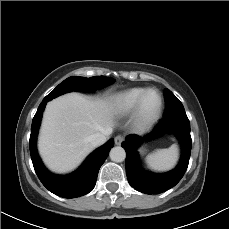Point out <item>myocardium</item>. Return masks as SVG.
<instances>
[{
	"label": "myocardium",
	"mask_w": 229,
	"mask_h": 229,
	"mask_svg": "<svg viewBox=\"0 0 229 229\" xmlns=\"http://www.w3.org/2000/svg\"><path fill=\"white\" fill-rule=\"evenodd\" d=\"M156 93L158 95V104L154 109H148L146 100L149 94ZM163 109V97L156 89H148L139 99L133 114L135 126L145 131L149 129L160 117Z\"/></svg>",
	"instance_id": "obj_1"
}]
</instances>
